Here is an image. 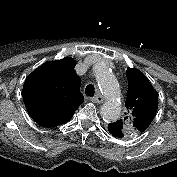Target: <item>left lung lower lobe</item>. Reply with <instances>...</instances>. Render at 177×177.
I'll use <instances>...</instances> for the list:
<instances>
[{
    "mask_svg": "<svg viewBox=\"0 0 177 177\" xmlns=\"http://www.w3.org/2000/svg\"><path fill=\"white\" fill-rule=\"evenodd\" d=\"M108 131L115 138H121L123 135V133L120 130H118L116 127H114L113 124L108 125Z\"/></svg>",
    "mask_w": 177,
    "mask_h": 177,
    "instance_id": "1",
    "label": "left lung lower lobe"
}]
</instances>
